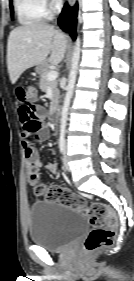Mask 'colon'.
Returning a JSON list of instances; mask_svg holds the SVG:
<instances>
[{"label": "colon", "mask_w": 134, "mask_h": 281, "mask_svg": "<svg viewBox=\"0 0 134 281\" xmlns=\"http://www.w3.org/2000/svg\"><path fill=\"white\" fill-rule=\"evenodd\" d=\"M26 98L28 102L36 103L38 100V90L34 86L28 87ZM27 178L36 195H43L48 201L59 202L81 210L87 215L92 229L83 244L86 252H92L113 244L116 237L118 219L109 206L101 202L88 203L83 197L68 188L57 185L46 187L41 182V175L37 168L30 169Z\"/></svg>", "instance_id": "1"}]
</instances>
